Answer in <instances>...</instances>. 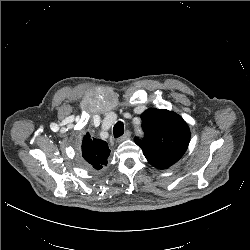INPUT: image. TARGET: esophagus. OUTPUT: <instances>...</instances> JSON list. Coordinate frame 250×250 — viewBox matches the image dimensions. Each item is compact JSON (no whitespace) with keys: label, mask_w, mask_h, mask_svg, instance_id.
Listing matches in <instances>:
<instances>
[{"label":"esophagus","mask_w":250,"mask_h":250,"mask_svg":"<svg viewBox=\"0 0 250 250\" xmlns=\"http://www.w3.org/2000/svg\"><path fill=\"white\" fill-rule=\"evenodd\" d=\"M130 136H131V132H130V131H126V132L124 133L123 136H121V137H119V138L117 139V142H118V143H121V142H123V141L129 139Z\"/></svg>","instance_id":"34e87169"}]
</instances>
